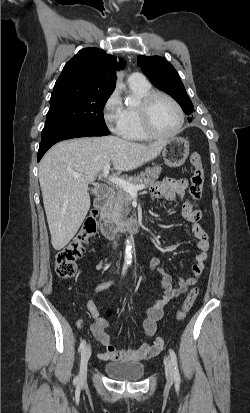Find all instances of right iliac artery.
<instances>
[{
    "label": "right iliac artery",
    "instance_id": "obj_1",
    "mask_svg": "<svg viewBox=\"0 0 250 413\" xmlns=\"http://www.w3.org/2000/svg\"><path fill=\"white\" fill-rule=\"evenodd\" d=\"M126 270H127V265H124L123 271H122L123 275L125 274ZM85 345H86V341L85 340L81 341L80 346H79V351L80 352H82L84 350ZM78 381H79V377H76L75 382H78Z\"/></svg>",
    "mask_w": 250,
    "mask_h": 413
}]
</instances>
